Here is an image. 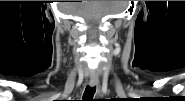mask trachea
<instances>
[{
  "instance_id": "obj_1",
  "label": "trachea",
  "mask_w": 185,
  "mask_h": 101,
  "mask_svg": "<svg viewBox=\"0 0 185 101\" xmlns=\"http://www.w3.org/2000/svg\"><path fill=\"white\" fill-rule=\"evenodd\" d=\"M96 87H89L87 86L84 94H83V101H93V96L95 94Z\"/></svg>"
}]
</instances>
